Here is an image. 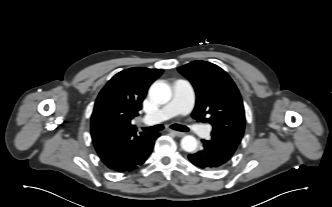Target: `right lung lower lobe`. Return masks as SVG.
Wrapping results in <instances>:
<instances>
[{"label": "right lung lower lobe", "instance_id": "right-lung-lower-lobe-1", "mask_svg": "<svg viewBox=\"0 0 332 207\" xmlns=\"http://www.w3.org/2000/svg\"><path fill=\"white\" fill-rule=\"evenodd\" d=\"M159 137L158 133L150 134L144 145L129 159L114 164H105L108 168L116 172H130L142 165L152 152L155 140Z\"/></svg>", "mask_w": 332, "mask_h": 207}]
</instances>
